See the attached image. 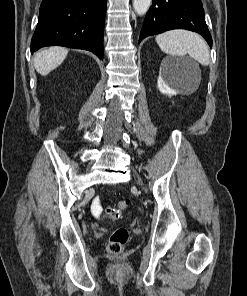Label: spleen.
Listing matches in <instances>:
<instances>
[{"mask_svg":"<svg viewBox=\"0 0 247 296\" xmlns=\"http://www.w3.org/2000/svg\"><path fill=\"white\" fill-rule=\"evenodd\" d=\"M156 42L164 53L171 56L181 57L188 54L203 66L209 64L208 45L197 33L181 29L171 30L157 35Z\"/></svg>","mask_w":247,"mask_h":296,"instance_id":"spleen-1","label":"spleen"}]
</instances>
